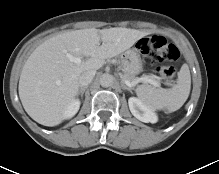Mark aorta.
I'll list each match as a JSON object with an SVG mask.
<instances>
[{
    "label": "aorta",
    "instance_id": "762f6f07",
    "mask_svg": "<svg viewBox=\"0 0 219 174\" xmlns=\"http://www.w3.org/2000/svg\"><path fill=\"white\" fill-rule=\"evenodd\" d=\"M114 79L113 76L110 74H103L100 77V85L102 87H110L113 85Z\"/></svg>",
    "mask_w": 219,
    "mask_h": 174
}]
</instances>
